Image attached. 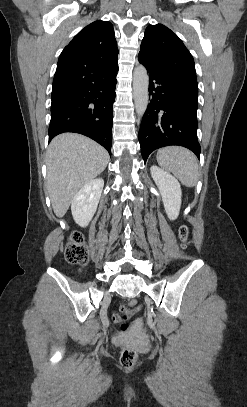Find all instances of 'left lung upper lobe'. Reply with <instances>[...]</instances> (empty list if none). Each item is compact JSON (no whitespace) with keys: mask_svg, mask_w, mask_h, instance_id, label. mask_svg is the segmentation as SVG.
I'll return each mask as SVG.
<instances>
[{"mask_svg":"<svg viewBox=\"0 0 247 407\" xmlns=\"http://www.w3.org/2000/svg\"><path fill=\"white\" fill-rule=\"evenodd\" d=\"M138 56L157 70L196 78L192 55L179 37L162 24L146 28Z\"/></svg>","mask_w":247,"mask_h":407,"instance_id":"1","label":"left lung upper lobe"}]
</instances>
